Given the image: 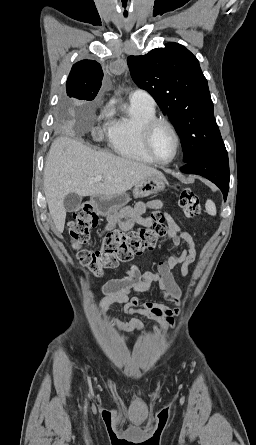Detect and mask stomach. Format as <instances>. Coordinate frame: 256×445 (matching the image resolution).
Masks as SVG:
<instances>
[{
  "label": "stomach",
  "instance_id": "stomach-1",
  "mask_svg": "<svg viewBox=\"0 0 256 445\" xmlns=\"http://www.w3.org/2000/svg\"><path fill=\"white\" fill-rule=\"evenodd\" d=\"M166 178L163 175L150 176L138 184L133 189V196L135 198H143L152 194H158L163 191ZM129 196L127 194L115 195V196H95L92 198V203L96 211L107 218H118V211L127 205L129 202Z\"/></svg>",
  "mask_w": 256,
  "mask_h": 445
}]
</instances>
